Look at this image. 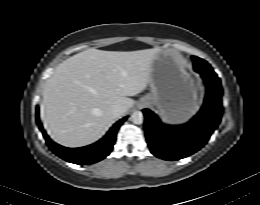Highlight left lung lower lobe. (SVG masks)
<instances>
[{"label":"left lung lower lobe","mask_w":260,"mask_h":205,"mask_svg":"<svg viewBox=\"0 0 260 205\" xmlns=\"http://www.w3.org/2000/svg\"><path fill=\"white\" fill-rule=\"evenodd\" d=\"M203 78L207 92L200 112L179 126L163 124L149 109H144L147 143L152 154L164 160L185 158L201 149L217 128L222 115V88L214 71L194 69Z\"/></svg>","instance_id":"obj_1"}]
</instances>
